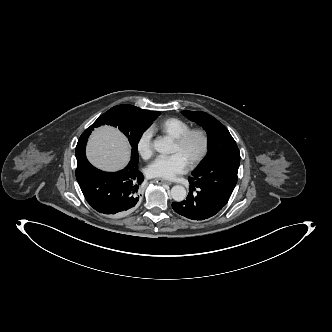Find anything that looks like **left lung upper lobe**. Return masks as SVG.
<instances>
[{"label":"left lung upper lobe","instance_id":"left-lung-upper-lobe-1","mask_svg":"<svg viewBox=\"0 0 332 332\" xmlns=\"http://www.w3.org/2000/svg\"><path fill=\"white\" fill-rule=\"evenodd\" d=\"M208 134V154L192 172L193 185L204 187L229 200L237 183L240 152L227 128L205 112L182 111Z\"/></svg>","mask_w":332,"mask_h":332}]
</instances>
